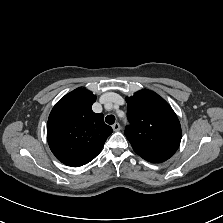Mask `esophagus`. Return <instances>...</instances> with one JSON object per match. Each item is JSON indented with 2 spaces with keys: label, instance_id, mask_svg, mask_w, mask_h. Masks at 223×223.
<instances>
[{
  "label": "esophagus",
  "instance_id": "esophagus-1",
  "mask_svg": "<svg viewBox=\"0 0 223 223\" xmlns=\"http://www.w3.org/2000/svg\"><path fill=\"white\" fill-rule=\"evenodd\" d=\"M112 129H113L115 132H117V131H119V130L121 129V126H120V124L117 122V123H115V124L112 125Z\"/></svg>",
  "mask_w": 223,
  "mask_h": 223
}]
</instances>
